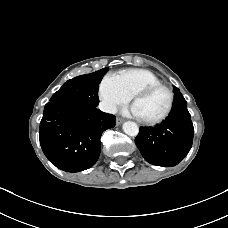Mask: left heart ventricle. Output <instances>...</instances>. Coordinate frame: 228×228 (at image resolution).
<instances>
[{"mask_svg": "<svg viewBox=\"0 0 228 228\" xmlns=\"http://www.w3.org/2000/svg\"><path fill=\"white\" fill-rule=\"evenodd\" d=\"M169 103V94L165 89H158L149 95L138 99L134 106L136 107L140 118L153 119L160 116L167 108Z\"/></svg>", "mask_w": 228, "mask_h": 228, "instance_id": "obj_1", "label": "left heart ventricle"}]
</instances>
